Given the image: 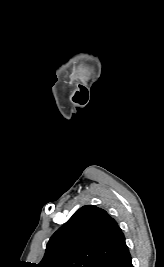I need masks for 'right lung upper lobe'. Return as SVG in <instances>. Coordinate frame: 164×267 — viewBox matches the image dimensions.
Returning <instances> with one entry per match:
<instances>
[{
    "label": "right lung upper lobe",
    "mask_w": 164,
    "mask_h": 267,
    "mask_svg": "<svg viewBox=\"0 0 164 267\" xmlns=\"http://www.w3.org/2000/svg\"><path fill=\"white\" fill-rule=\"evenodd\" d=\"M125 245L117 222L105 210L86 205L53 234L38 267H99Z\"/></svg>",
    "instance_id": "cb5924a9"
}]
</instances>
